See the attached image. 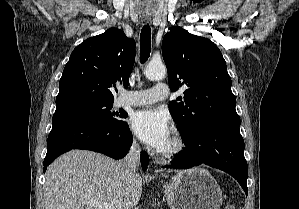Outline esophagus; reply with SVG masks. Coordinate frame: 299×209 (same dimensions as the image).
I'll return each mask as SVG.
<instances>
[{
	"label": "esophagus",
	"instance_id": "obj_1",
	"mask_svg": "<svg viewBox=\"0 0 299 209\" xmlns=\"http://www.w3.org/2000/svg\"><path fill=\"white\" fill-rule=\"evenodd\" d=\"M143 20H144L145 22H148V21L150 20V18H149V17H143Z\"/></svg>",
	"mask_w": 299,
	"mask_h": 209
}]
</instances>
